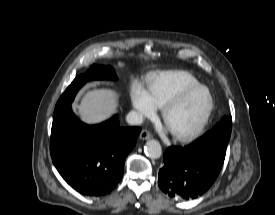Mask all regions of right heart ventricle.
Instances as JSON below:
<instances>
[{
    "mask_svg": "<svg viewBox=\"0 0 275 215\" xmlns=\"http://www.w3.org/2000/svg\"><path fill=\"white\" fill-rule=\"evenodd\" d=\"M197 84L196 77L187 71H163L149 76L147 91L156 107L162 108L178 92Z\"/></svg>",
    "mask_w": 275,
    "mask_h": 215,
    "instance_id": "e07e8e85",
    "label": "right heart ventricle"
}]
</instances>
